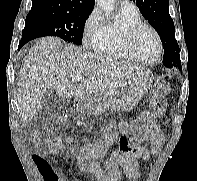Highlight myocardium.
I'll use <instances>...</instances> for the list:
<instances>
[{
	"label": "myocardium",
	"mask_w": 197,
	"mask_h": 181,
	"mask_svg": "<svg viewBox=\"0 0 197 181\" xmlns=\"http://www.w3.org/2000/svg\"><path fill=\"white\" fill-rule=\"evenodd\" d=\"M144 29H148L155 36V38L157 40V43H158V48H159L158 55L153 60L143 59L138 54L137 49H136V40H137V37L140 34V32L142 30H144ZM125 44H126V47H127L128 51L132 55V57L136 61L141 62V63H144V64H154V63H157L161 59V56L163 54V44H162V40H161V37H160L159 33L157 32V30L153 26H151L150 24L145 23V22L137 23V24L131 26L127 30L126 37H125Z\"/></svg>",
	"instance_id": "f54148a6"
}]
</instances>
